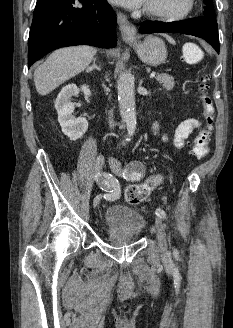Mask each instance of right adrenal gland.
<instances>
[{
    "label": "right adrenal gland",
    "mask_w": 233,
    "mask_h": 328,
    "mask_svg": "<svg viewBox=\"0 0 233 328\" xmlns=\"http://www.w3.org/2000/svg\"><path fill=\"white\" fill-rule=\"evenodd\" d=\"M94 69H97L98 71H101V68H100L99 66L96 65V57L93 58V65L87 67L86 72H91V71H93Z\"/></svg>",
    "instance_id": "obj_1"
}]
</instances>
